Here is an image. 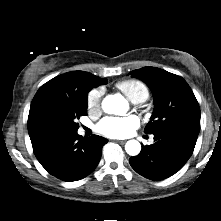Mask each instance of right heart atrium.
Returning <instances> with one entry per match:
<instances>
[{"mask_svg":"<svg viewBox=\"0 0 221 221\" xmlns=\"http://www.w3.org/2000/svg\"><path fill=\"white\" fill-rule=\"evenodd\" d=\"M103 91L101 88L91 90L87 96V108L90 112H95L100 109L101 97Z\"/></svg>","mask_w":221,"mask_h":221,"instance_id":"1","label":"right heart atrium"}]
</instances>
